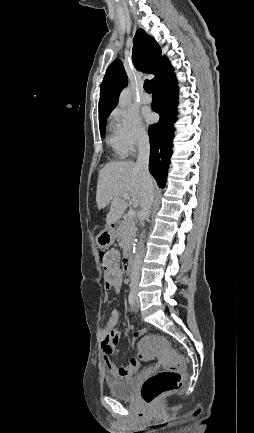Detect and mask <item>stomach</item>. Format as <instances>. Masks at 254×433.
<instances>
[{"label": "stomach", "instance_id": "1", "mask_svg": "<svg viewBox=\"0 0 254 433\" xmlns=\"http://www.w3.org/2000/svg\"><path fill=\"white\" fill-rule=\"evenodd\" d=\"M116 238V230L112 227H108L102 232L99 233V235L96 238L97 245L99 248H108L111 246Z\"/></svg>", "mask_w": 254, "mask_h": 433}]
</instances>
